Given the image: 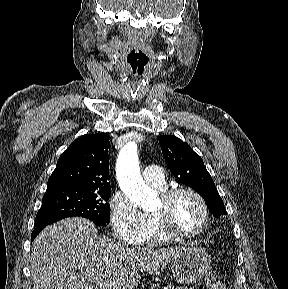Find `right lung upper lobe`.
<instances>
[{
  "instance_id": "cb5924a9",
  "label": "right lung upper lobe",
  "mask_w": 288,
  "mask_h": 289,
  "mask_svg": "<svg viewBox=\"0 0 288 289\" xmlns=\"http://www.w3.org/2000/svg\"><path fill=\"white\" fill-rule=\"evenodd\" d=\"M107 134H86L71 143L59 157L47 190H92L110 187Z\"/></svg>"
}]
</instances>
